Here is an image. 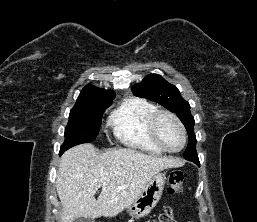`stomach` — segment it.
I'll return each mask as SVG.
<instances>
[{"label":"stomach","mask_w":257,"mask_h":222,"mask_svg":"<svg viewBox=\"0 0 257 222\" xmlns=\"http://www.w3.org/2000/svg\"><path fill=\"white\" fill-rule=\"evenodd\" d=\"M165 179V174L158 172L149 180L142 193L126 208L130 217L139 219L151 212L161 198Z\"/></svg>","instance_id":"stomach-1"}]
</instances>
